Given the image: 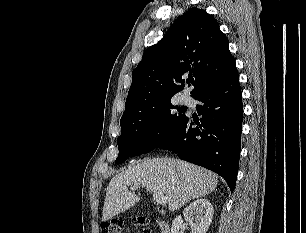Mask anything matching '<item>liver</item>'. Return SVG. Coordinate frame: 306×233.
I'll return each instance as SVG.
<instances>
[{
  "instance_id": "6515ba94",
  "label": "liver",
  "mask_w": 306,
  "mask_h": 233,
  "mask_svg": "<svg viewBox=\"0 0 306 233\" xmlns=\"http://www.w3.org/2000/svg\"><path fill=\"white\" fill-rule=\"evenodd\" d=\"M218 184L217 176L194 164L172 158L144 159L117 174L109 182L102 212L107 221L140 201L139 195L130 193L128 187H145L163 194L170 211L187 202L209 194Z\"/></svg>"
}]
</instances>
